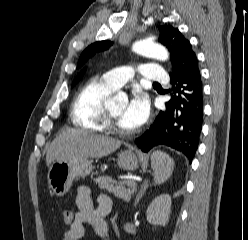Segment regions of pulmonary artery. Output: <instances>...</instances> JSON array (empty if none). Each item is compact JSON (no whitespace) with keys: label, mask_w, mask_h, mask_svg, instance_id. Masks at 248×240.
I'll use <instances>...</instances> for the list:
<instances>
[{"label":"pulmonary artery","mask_w":248,"mask_h":240,"mask_svg":"<svg viewBox=\"0 0 248 240\" xmlns=\"http://www.w3.org/2000/svg\"><path fill=\"white\" fill-rule=\"evenodd\" d=\"M140 73L146 81H153L154 83H166L168 81L167 74L157 64L141 65ZM102 77L109 85L119 88L133 77V72L130 67H121L105 72Z\"/></svg>","instance_id":"pulmonary-artery-1"}]
</instances>
